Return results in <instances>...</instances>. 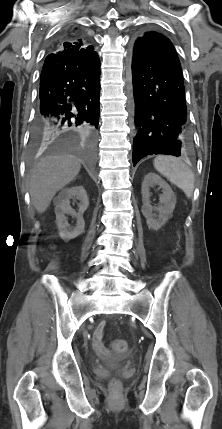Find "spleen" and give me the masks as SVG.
Here are the masks:
<instances>
[{"label":"spleen","instance_id":"3e777b00","mask_svg":"<svg viewBox=\"0 0 222 429\" xmlns=\"http://www.w3.org/2000/svg\"><path fill=\"white\" fill-rule=\"evenodd\" d=\"M155 169L190 198L194 191V174L179 158L160 155L154 159Z\"/></svg>","mask_w":222,"mask_h":429}]
</instances>
